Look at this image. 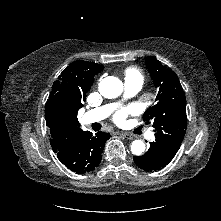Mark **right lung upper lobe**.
<instances>
[{
	"instance_id": "1",
	"label": "right lung upper lobe",
	"mask_w": 221,
	"mask_h": 221,
	"mask_svg": "<svg viewBox=\"0 0 221 221\" xmlns=\"http://www.w3.org/2000/svg\"><path fill=\"white\" fill-rule=\"evenodd\" d=\"M103 69V66L94 62L74 61L53 83L45 105V119L54 152L74 147L84 132L80 128L77 113L83 106L95 74Z\"/></svg>"
}]
</instances>
